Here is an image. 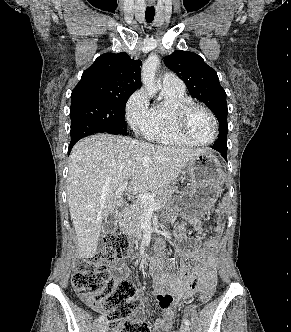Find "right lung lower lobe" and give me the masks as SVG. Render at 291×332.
Returning a JSON list of instances; mask_svg holds the SVG:
<instances>
[{
  "instance_id": "right-lung-lower-lobe-1",
  "label": "right lung lower lobe",
  "mask_w": 291,
  "mask_h": 332,
  "mask_svg": "<svg viewBox=\"0 0 291 332\" xmlns=\"http://www.w3.org/2000/svg\"><path fill=\"white\" fill-rule=\"evenodd\" d=\"M99 131L98 126L92 120H83L76 124L71 125V142L69 145L68 153L74 144L82 137L97 133Z\"/></svg>"
}]
</instances>
